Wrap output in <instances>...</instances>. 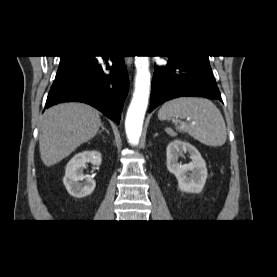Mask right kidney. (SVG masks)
Segmentation results:
<instances>
[{"mask_svg": "<svg viewBox=\"0 0 277 277\" xmlns=\"http://www.w3.org/2000/svg\"><path fill=\"white\" fill-rule=\"evenodd\" d=\"M87 162L100 166L102 163L101 153L98 151L78 153L66 165L63 183L73 197L83 198L90 195L95 189V180L83 173Z\"/></svg>", "mask_w": 277, "mask_h": 277, "instance_id": "obj_1", "label": "right kidney"}]
</instances>
